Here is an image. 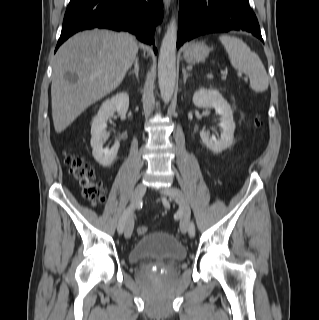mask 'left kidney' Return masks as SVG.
<instances>
[{"instance_id":"5707ae66","label":"left kidney","mask_w":319,"mask_h":320,"mask_svg":"<svg viewBox=\"0 0 319 320\" xmlns=\"http://www.w3.org/2000/svg\"><path fill=\"white\" fill-rule=\"evenodd\" d=\"M193 103L199 108H215L220 115V127L222 132L217 140L215 136H209L205 130L200 132L202 142L214 153H220L230 147L234 139L235 123L230 105L216 89H198L193 95Z\"/></svg>"}]
</instances>
